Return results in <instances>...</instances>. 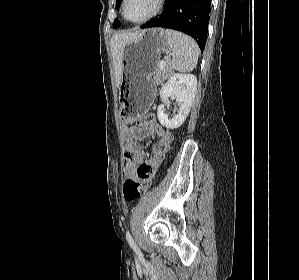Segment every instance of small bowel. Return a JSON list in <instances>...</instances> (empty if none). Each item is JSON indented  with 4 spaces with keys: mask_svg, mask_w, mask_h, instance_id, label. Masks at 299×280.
I'll use <instances>...</instances> for the list:
<instances>
[{
    "mask_svg": "<svg viewBox=\"0 0 299 280\" xmlns=\"http://www.w3.org/2000/svg\"><path fill=\"white\" fill-rule=\"evenodd\" d=\"M137 128H142L143 132L137 133ZM151 135L157 136V141L151 149L152 159L150 160H153L160 157L164 148L171 143L172 134L169 130L156 122L155 119L147 125H130L126 129V136L130 140V157L125 160L124 164V173L127 180L135 178L137 168L141 163L145 162L142 147L138 141Z\"/></svg>",
    "mask_w": 299,
    "mask_h": 280,
    "instance_id": "small-bowel-1",
    "label": "small bowel"
}]
</instances>
